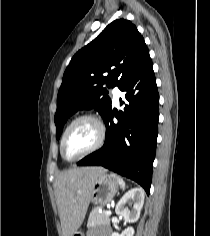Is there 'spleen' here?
Wrapping results in <instances>:
<instances>
[{
	"instance_id": "3e777b00",
	"label": "spleen",
	"mask_w": 210,
	"mask_h": 236,
	"mask_svg": "<svg viewBox=\"0 0 210 236\" xmlns=\"http://www.w3.org/2000/svg\"><path fill=\"white\" fill-rule=\"evenodd\" d=\"M113 177H116L117 178V181H118V183H119V185H120V187L122 188V189H125V182L123 181V179L121 178V177H119V176H116L115 174H111Z\"/></svg>"
}]
</instances>
